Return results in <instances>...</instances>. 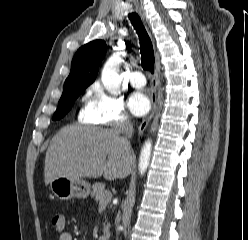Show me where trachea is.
Here are the masks:
<instances>
[{
  "instance_id": "trachea-1",
  "label": "trachea",
  "mask_w": 248,
  "mask_h": 240,
  "mask_svg": "<svg viewBox=\"0 0 248 240\" xmlns=\"http://www.w3.org/2000/svg\"><path fill=\"white\" fill-rule=\"evenodd\" d=\"M129 19L136 30L140 40L141 64L144 70L154 72V49L152 41L145 30L140 17L136 13H130Z\"/></svg>"
}]
</instances>
